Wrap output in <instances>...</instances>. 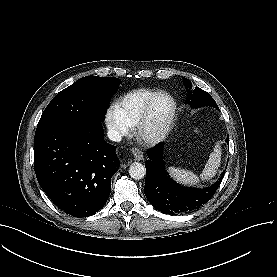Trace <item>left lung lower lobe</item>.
<instances>
[{
	"label": "left lung lower lobe",
	"mask_w": 277,
	"mask_h": 277,
	"mask_svg": "<svg viewBox=\"0 0 277 277\" xmlns=\"http://www.w3.org/2000/svg\"><path fill=\"white\" fill-rule=\"evenodd\" d=\"M163 146V143H159L147 151L149 160L145 163L144 192L148 201L154 208L170 215L186 213L205 204L214 195L224 174L208 188L193 189L180 186L168 176L164 168Z\"/></svg>",
	"instance_id": "obj_1"
}]
</instances>
